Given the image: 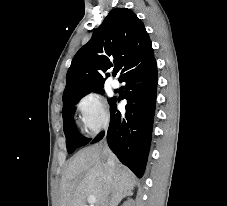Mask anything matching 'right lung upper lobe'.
Returning <instances> with one entry per match:
<instances>
[{"label": "right lung upper lobe", "instance_id": "obj_1", "mask_svg": "<svg viewBox=\"0 0 227 206\" xmlns=\"http://www.w3.org/2000/svg\"><path fill=\"white\" fill-rule=\"evenodd\" d=\"M154 56L142 21L127 8H115L73 57L63 99L104 86L113 65L124 74Z\"/></svg>", "mask_w": 227, "mask_h": 206}]
</instances>
